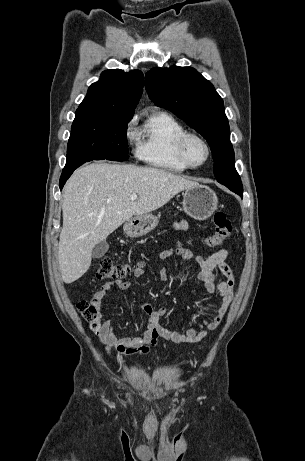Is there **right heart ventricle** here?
<instances>
[{
    "label": "right heart ventricle",
    "instance_id": "obj_1",
    "mask_svg": "<svg viewBox=\"0 0 305 461\" xmlns=\"http://www.w3.org/2000/svg\"><path fill=\"white\" fill-rule=\"evenodd\" d=\"M186 132L172 115L158 112L149 117L137 132V156L148 165L171 172H183L187 167L179 158L177 143Z\"/></svg>",
    "mask_w": 305,
    "mask_h": 461
}]
</instances>
